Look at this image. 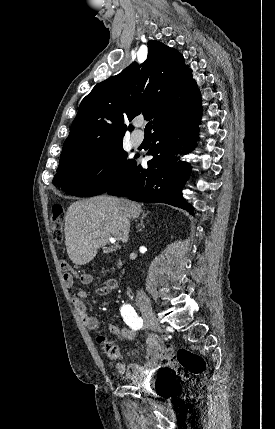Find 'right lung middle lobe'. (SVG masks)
Listing matches in <instances>:
<instances>
[{
  "mask_svg": "<svg viewBox=\"0 0 275 429\" xmlns=\"http://www.w3.org/2000/svg\"><path fill=\"white\" fill-rule=\"evenodd\" d=\"M122 140L60 162L53 182L66 193L78 197L100 195L116 187L136 163L126 159L127 152L123 150Z\"/></svg>",
  "mask_w": 275,
  "mask_h": 429,
  "instance_id": "1",
  "label": "right lung middle lobe"
}]
</instances>
